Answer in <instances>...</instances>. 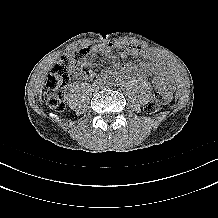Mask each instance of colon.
Listing matches in <instances>:
<instances>
[{
  "label": "colon",
  "instance_id": "obj_1",
  "mask_svg": "<svg viewBox=\"0 0 218 218\" xmlns=\"http://www.w3.org/2000/svg\"><path fill=\"white\" fill-rule=\"evenodd\" d=\"M84 54L85 50L79 49L76 52L65 55L52 68L47 77L44 91L45 101L51 108L59 111L64 110L65 104L62 100L61 89L70 82L72 67ZM164 102L163 93L157 92L146 103L145 111L150 114L155 113L161 109Z\"/></svg>",
  "mask_w": 218,
  "mask_h": 218
}]
</instances>
